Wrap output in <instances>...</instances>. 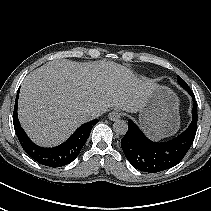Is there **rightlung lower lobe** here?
Segmentation results:
<instances>
[{"label":"right lung lower lobe","instance_id":"1","mask_svg":"<svg viewBox=\"0 0 211 211\" xmlns=\"http://www.w3.org/2000/svg\"><path fill=\"white\" fill-rule=\"evenodd\" d=\"M18 97L19 90L15 100L13 124L18 140L24 151L39 164L53 168L67 165L75 160L87 141L92 127L98 122V119L81 125L66 142L59 146L53 148L40 147L29 139L19 123L17 115Z\"/></svg>","mask_w":211,"mask_h":211}]
</instances>
